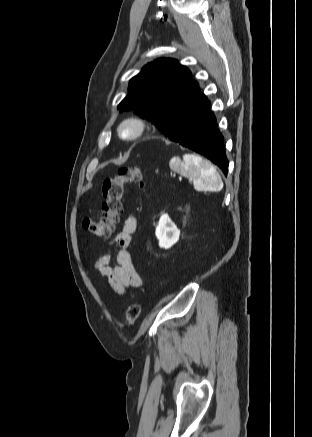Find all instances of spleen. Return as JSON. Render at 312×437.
Masks as SVG:
<instances>
[{"instance_id":"spleen-1","label":"spleen","mask_w":312,"mask_h":437,"mask_svg":"<svg viewBox=\"0 0 312 437\" xmlns=\"http://www.w3.org/2000/svg\"><path fill=\"white\" fill-rule=\"evenodd\" d=\"M169 166L171 169L193 179L194 185L203 190L218 192L223 188V181L216 168L200 156L185 154L183 160L173 157Z\"/></svg>"}]
</instances>
